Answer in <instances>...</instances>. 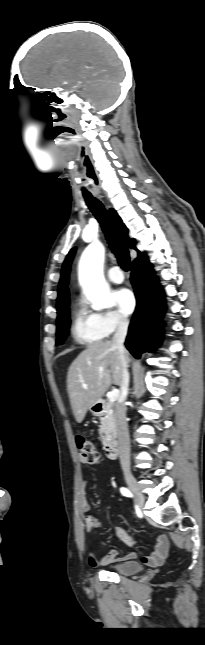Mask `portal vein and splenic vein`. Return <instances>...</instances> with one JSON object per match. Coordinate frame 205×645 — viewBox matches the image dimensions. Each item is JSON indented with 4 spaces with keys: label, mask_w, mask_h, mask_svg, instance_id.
Segmentation results:
<instances>
[{
    "label": "portal vein and splenic vein",
    "mask_w": 205,
    "mask_h": 645,
    "mask_svg": "<svg viewBox=\"0 0 205 645\" xmlns=\"http://www.w3.org/2000/svg\"><path fill=\"white\" fill-rule=\"evenodd\" d=\"M118 397H119V390L114 389L109 396V401L114 402L118 399Z\"/></svg>",
    "instance_id": "18ae733b"
}]
</instances>
